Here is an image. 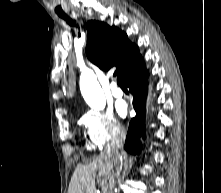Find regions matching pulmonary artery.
<instances>
[{
  "mask_svg": "<svg viewBox=\"0 0 221 193\" xmlns=\"http://www.w3.org/2000/svg\"><path fill=\"white\" fill-rule=\"evenodd\" d=\"M111 93L113 96L119 98L123 96V91L117 86L115 82L111 83Z\"/></svg>",
  "mask_w": 221,
  "mask_h": 193,
  "instance_id": "obj_1",
  "label": "pulmonary artery"
}]
</instances>
